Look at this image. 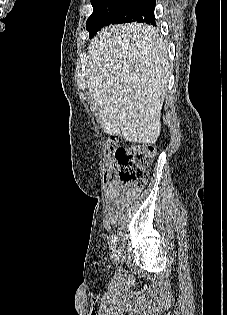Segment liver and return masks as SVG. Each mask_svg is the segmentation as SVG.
<instances>
[{
  "instance_id": "liver-1",
  "label": "liver",
  "mask_w": 227,
  "mask_h": 315,
  "mask_svg": "<svg viewBox=\"0 0 227 315\" xmlns=\"http://www.w3.org/2000/svg\"><path fill=\"white\" fill-rule=\"evenodd\" d=\"M88 49V94L104 131L155 144L170 75L167 47L157 29L112 25L99 31Z\"/></svg>"
}]
</instances>
